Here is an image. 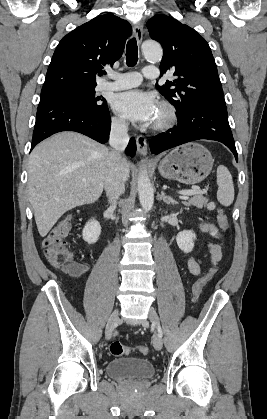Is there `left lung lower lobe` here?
Masks as SVG:
<instances>
[{"label":"left lung lower lobe","mask_w":267,"mask_h":419,"mask_svg":"<svg viewBox=\"0 0 267 419\" xmlns=\"http://www.w3.org/2000/svg\"><path fill=\"white\" fill-rule=\"evenodd\" d=\"M198 139L222 142L233 152L236 161H238L226 106L197 107L186 115L178 117L176 127L168 132L158 134L150 140V149L156 155Z\"/></svg>","instance_id":"left-lung-lower-lobe-1"}]
</instances>
